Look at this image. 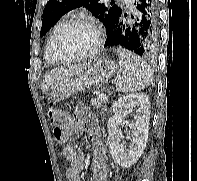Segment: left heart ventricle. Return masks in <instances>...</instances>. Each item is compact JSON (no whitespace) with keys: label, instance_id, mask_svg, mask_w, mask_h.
Instances as JSON below:
<instances>
[{"label":"left heart ventricle","instance_id":"left-heart-ventricle-1","mask_svg":"<svg viewBox=\"0 0 197 181\" xmlns=\"http://www.w3.org/2000/svg\"><path fill=\"white\" fill-rule=\"evenodd\" d=\"M95 31L88 24H75L63 34L59 47L64 57H73L89 51L95 43Z\"/></svg>","mask_w":197,"mask_h":181}]
</instances>
